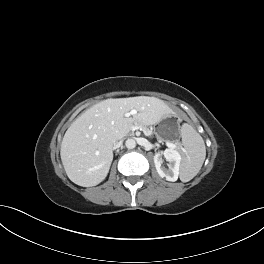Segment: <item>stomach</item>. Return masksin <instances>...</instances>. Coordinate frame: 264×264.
I'll list each match as a JSON object with an SVG mask.
<instances>
[{
  "instance_id": "0dacf381",
  "label": "stomach",
  "mask_w": 264,
  "mask_h": 264,
  "mask_svg": "<svg viewBox=\"0 0 264 264\" xmlns=\"http://www.w3.org/2000/svg\"><path fill=\"white\" fill-rule=\"evenodd\" d=\"M170 122L172 125L177 126L180 124L181 119L179 116L174 115L171 117ZM177 133V130L170 126L169 119L166 117L155 128V134L158 139L172 140L177 136Z\"/></svg>"
}]
</instances>
